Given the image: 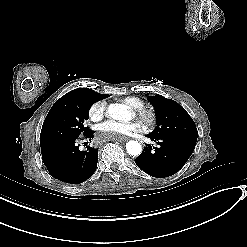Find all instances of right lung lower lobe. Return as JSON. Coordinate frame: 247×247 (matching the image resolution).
Here are the masks:
<instances>
[{
  "label": "right lung lower lobe",
  "mask_w": 247,
  "mask_h": 247,
  "mask_svg": "<svg viewBox=\"0 0 247 247\" xmlns=\"http://www.w3.org/2000/svg\"><path fill=\"white\" fill-rule=\"evenodd\" d=\"M93 138V132L85 135ZM42 160L50 175L60 181L79 184L90 178L97 168L98 149L80 151L76 139L56 141L41 146Z\"/></svg>",
  "instance_id": "1"
}]
</instances>
